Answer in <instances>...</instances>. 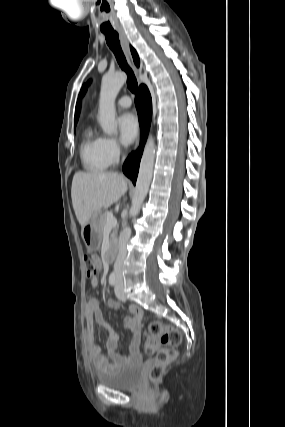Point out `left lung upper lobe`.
Masks as SVG:
<instances>
[{
    "mask_svg": "<svg viewBox=\"0 0 285 427\" xmlns=\"http://www.w3.org/2000/svg\"><path fill=\"white\" fill-rule=\"evenodd\" d=\"M86 88H87V85H84V86L82 87V89H81V93H82V94H84V93H85Z\"/></svg>",
    "mask_w": 285,
    "mask_h": 427,
    "instance_id": "1",
    "label": "left lung upper lobe"
}]
</instances>
